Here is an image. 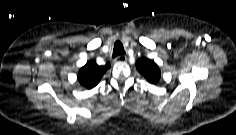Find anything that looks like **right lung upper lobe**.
<instances>
[{
    "instance_id": "cb5924a9",
    "label": "right lung upper lobe",
    "mask_w": 236,
    "mask_h": 135,
    "mask_svg": "<svg viewBox=\"0 0 236 135\" xmlns=\"http://www.w3.org/2000/svg\"><path fill=\"white\" fill-rule=\"evenodd\" d=\"M110 67L109 63L99 66L95 61H88L79 71L78 81L86 89L95 87L107 69Z\"/></svg>"
}]
</instances>
